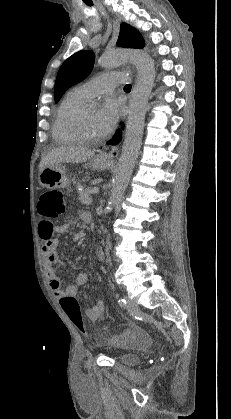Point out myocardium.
<instances>
[{
	"label": "myocardium",
	"instance_id": "obj_1",
	"mask_svg": "<svg viewBox=\"0 0 231 419\" xmlns=\"http://www.w3.org/2000/svg\"><path fill=\"white\" fill-rule=\"evenodd\" d=\"M88 107L81 109L75 116L72 126L76 134L80 137L81 140L89 143H97L102 141L105 138V135L94 136L91 135L86 128V115Z\"/></svg>",
	"mask_w": 231,
	"mask_h": 419
}]
</instances>
